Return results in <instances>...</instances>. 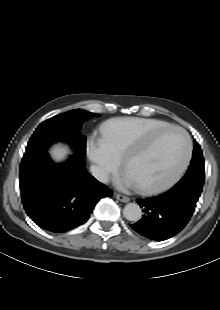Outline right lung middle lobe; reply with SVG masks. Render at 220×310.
I'll list each match as a JSON object with an SVG mask.
<instances>
[{"mask_svg": "<svg viewBox=\"0 0 220 310\" xmlns=\"http://www.w3.org/2000/svg\"><path fill=\"white\" fill-rule=\"evenodd\" d=\"M97 116L82 109L68 111L42 122L30 138L26 155L36 154L47 149L56 140H64L76 146L78 152L85 154L86 138L79 136L82 124Z\"/></svg>", "mask_w": 220, "mask_h": 310, "instance_id": "dd1d6c3e", "label": "right lung middle lobe"}]
</instances>
